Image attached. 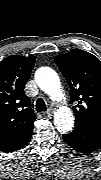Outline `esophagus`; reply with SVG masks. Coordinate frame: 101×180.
<instances>
[{
    "instance_id": "34e87169",
    "label": "esophagus",
    "mask_w": 101,
    "mask_h": 180,
    "mask_svg": "<svg viewBox=\"0 0 101 180\" xmlns=\"http://www.w3.org/2000/svg\"><path fill=\"white\" fill-rule=\"evenodd\" d=\"M53 111H54V110H53L52 108H49V109L47 110V114H48V115H51V114L53 113Z\"/></svg>"
}]
</instances>
